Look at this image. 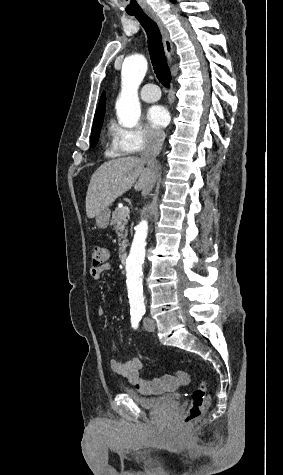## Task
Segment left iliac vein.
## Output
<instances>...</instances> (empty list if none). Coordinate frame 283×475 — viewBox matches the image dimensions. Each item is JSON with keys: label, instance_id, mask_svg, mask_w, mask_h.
I'll return each instance as SVG.
<instances>
[{"label": "left iliac vein", "instance_id": "obj_1", "mask_svg": "<svg viewBox=\"0 0 283 475\" xmlns=\"http://www.w3.org/2000/svg\"><path fill=\"white\" fill-rule=\"evenodd\" d=\"M143 325H144V328H145L146 330H148V331H154V329H155V323H154V321H153L151 318H149V317H147V318L145 317V318H144Z\"/></svg>", "mask_w": 283, "mask_h": 475}]
</instances>
